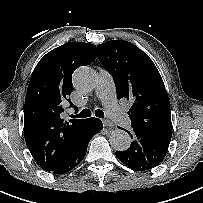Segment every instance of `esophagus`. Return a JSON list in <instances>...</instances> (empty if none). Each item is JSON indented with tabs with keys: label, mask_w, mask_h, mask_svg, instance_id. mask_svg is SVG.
<instances>
[{
	"label": "esophagus",
	"mask_w": 203,
	"mask_h": 203,
	"mask_svg": "<svg viewBox=\"0 0 203 203\" xmlns=\"http://www.w3.org/2000/svg\"><path fill=\"white\" fill-rule=\"evenodd\" d=\"M102 122H103V125L105 127H109V128H113L114 127L113 123L111 121L107 120V119H104Z\"/></svg>",
	"instance_id": "1"
}]
</instances>
